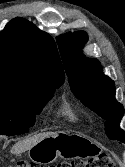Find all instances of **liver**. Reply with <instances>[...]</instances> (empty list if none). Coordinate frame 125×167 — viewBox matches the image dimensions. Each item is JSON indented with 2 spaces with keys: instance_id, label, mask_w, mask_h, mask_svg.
Masks as SVG:
<instances>
[{
  "instance_id": "obj_1",
  "label": "liver",
  "mask_w": 125,
  "mask_h": 167,
  "mask_svg": "<svg viewBox=\"0 0 125 167\" xmlns=\"http://www.w3.org/2000/svg\"><path fill=\"white\" fill-rule=\"evenodd\" d=\"M58 132H42L30 137L25 138L22 141L17 142L12 148H11V153L18 155L21 154L30 148H32L35 144L40 142L41 140L49 137V136H54Z\"/></svg>"
}]
</instances>
